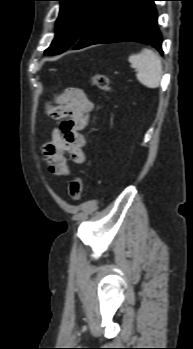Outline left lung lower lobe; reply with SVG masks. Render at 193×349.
I'll return each mask as SVG.
<instances>
[{
    "mask_svg": "<svg viewBox=\"0 0 193 349\" xmlns=\"http://www.w3.org/2000/svg\"><path fill=\"white\" fill-rule=\"evenodd\" d=\"M154 1L109 0L73 49L99 43L134 41L150 44L163 53Z\"/></svg>",
    "mask_w": 193,
    "mask_h": 349,
    "instance_id": "0a47b994",
    "label": "left lung lower lobe"
}]
</instances>
